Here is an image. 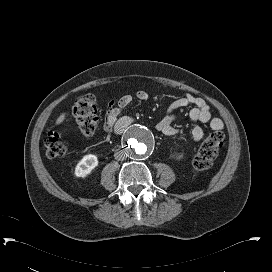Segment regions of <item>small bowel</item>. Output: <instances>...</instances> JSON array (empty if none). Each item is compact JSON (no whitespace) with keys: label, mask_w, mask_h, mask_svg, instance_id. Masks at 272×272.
Returning a JSON list of instances; mask_svg holds the SVG:
<instances>
[{"label":"small bowel","mask_w":272,"mask_h":272,"mask_svg":"<svg viewBox=\"0 0 272 272\" xmlns=\"http://www.w3.org/2000/svg\"><path fill=\"white\" fill-rule=\"evenodd\" d=\"M148 98L149 95L147 92L139 90L134 94H126L111 101L105 119L107 131H112L121 112L131 104L134 99L145 101ZM185 106H191L189 117L192 122L191 136L194 141H200L204 136V131L199 125L200 123H208L213 130H221L223 128L222 120L212 118L210 107L203 98L186 94L168 106L165 116L157 124V129L164 135L170 136L176 134L178 130L172 124L176 119V112Z\"/></svg>","instance_id":"small-bowel-1"}]
</instances>
